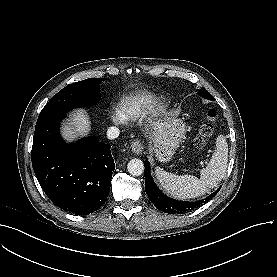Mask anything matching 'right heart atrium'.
Returning <instances> with one entry per match:
<instances>
[{
	"instance_id": "right-heart-atrium-1",
	"label": "right heart atrium",
	"mask_w": 277,
	"mask_h": 277,
	"mask_svg": "<svg viewBox=\"0 0 277 277\" xmlns=\"http://www.w3.org/2000/svg\"><path fill=\"white\" fill-rule=\"evenodd\" d=\"M111 120L115 123V124H119L122 121V117L121 114L118 110H115L112 112L111 114Z\"/></svg>"
}]
</instances>
